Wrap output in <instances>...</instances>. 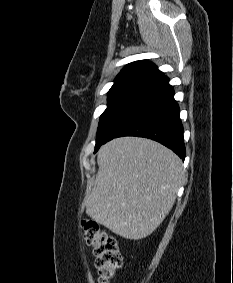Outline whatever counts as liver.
Segmentation results:
<instances>
[{
    "label": "liver",
    "instance_id": "6515ba94",
    "mask_svg": "<svg viewBox=\"0 0 233 283\" xmlns=\"http://www.w3.org/2000/svg\"><path fill=\"white\" fill-rule=\"evenodd\" d=\"M98 172L86 212L131 240L150 235L172 209L184 180L181 159L150 139L120 137L97 153Z\"/></svg>",
    "mask_w": 233,
    "mask_h": 283
}]
</instances>
